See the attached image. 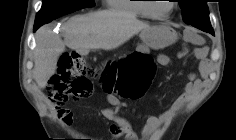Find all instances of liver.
I'll return each mask as SVG.
<instances>
[{
	"label": "liver",
	"mask_w": 236,
	"mask_h": 140,
	"mask_svg": "<svg viewBox=\"0 0 236 140\" xmlns=\"http://www.w3.org/2000/svg\"><path fill=\"white\" fill-rule=\"evenodd\" d=\"M150 28L133 14L114 11L72 17L61 28L64 40L49 26H43L35 34L34 79L40 88L46 87L66 46L81 54H87L90 49L112 50L140 31L144 40V32Z\"/></svg>",
	"instance_id": "1"
}]
</instances>
